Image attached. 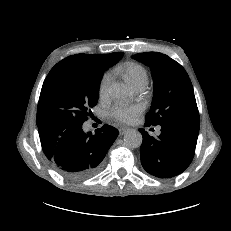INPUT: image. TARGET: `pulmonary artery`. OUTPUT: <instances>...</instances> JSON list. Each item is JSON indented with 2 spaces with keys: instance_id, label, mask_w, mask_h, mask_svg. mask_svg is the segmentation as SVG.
<instances>
[{
  "instance_id": "e3ab8cb5",
  "label": "pulmonary artery",
  "mask_w": 231,
  "mask_h": 231,
  "mask_svg": "<svg viewBox=\"0 0 231 231\" xmlns=\"http://www.w3.org/2000/svg\"><path fill=\"white\" fill-rule=\"evenodd\" d=\"M157 132H158V133L160 132V127L157 128Z\"/></svg>"
}]
</instances>
